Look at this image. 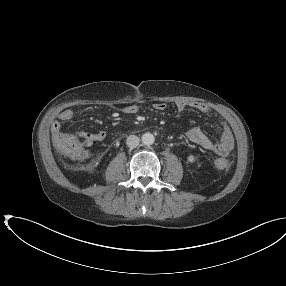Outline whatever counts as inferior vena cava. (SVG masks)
I'll list each match as a JSON object with an SVG mask.
<instances>
[{
    "label": "inferior vena cava",
    "instance_id": "inferior-vena-cava-1",
    "mask_svg": "<svg viewBox=\"0 0 286 286\" xmlns=\"http://www.w3.org/2000/svg\"><path fill=\"white\" fill-rule=\"evenodd\" d=\"M140 139L135 135L127 137L126 144L129 148H136L139 145Z\"/></svg>",
    "mask_w": 286,
    "mask_h": 286
}]
</instances>
